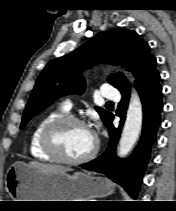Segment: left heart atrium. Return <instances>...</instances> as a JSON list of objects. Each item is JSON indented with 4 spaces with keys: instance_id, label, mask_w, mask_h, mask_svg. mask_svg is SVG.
Masks as SVG:
<instances>
[{
    "instance_id": "39dd6f15",
    "label": "left heart atrium",
    "mask_w": 176,
    "mask_h": 211,
    "mask_svg": "<svg viewBox=\"0 0 176 211\" xmlns=\"http://www.w3.org/2000/svg\"><path fill=\"white\" fill-rule=\"evenodd\" d=\"M91 132H92L93 136L96 137V133L94 131H91Z\"/></svg>"
}]
</instances>
